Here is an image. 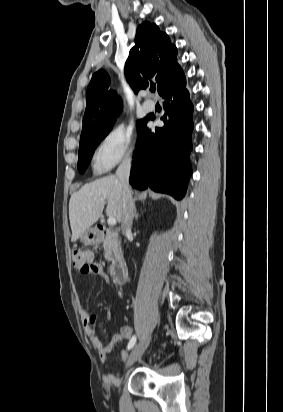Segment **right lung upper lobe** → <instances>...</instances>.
<instances>
[{"label": "right lung upper lobe", "mask_w": 283, "mask_h": 412, "mask_svg": "<svg viewBox=\"0 0 283 412\" xmlns=\"http://www.w3.org/2000/svg\"><path fill=\"white\" fill-rule=\"evenodd\" d=\"M135 43L124 69L127 82L135 92L155 83L161 94L167 86H176L185 78L178 63L176 46L157 25L147 21L139 25ZM109 84L110 78L103 70L92 76L86 92L80 139L111 129L120 114L121 100L113 90L108 91Z\"/></svg>", "instance_id": "1"}]
</instances>
